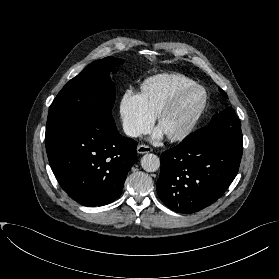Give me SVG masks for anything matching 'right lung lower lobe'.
<instances>
[{"label": "right lung lower lobe", "mask_w": 279, "mask_h": 279, "mask_svg": "<svg viewBox=\"0 0 279 279\" xmlns=\"http://www.w3.org/2000/svg\"><path fill=\"white\" fill-rule=\"evenodd\" d=\"M45 142L60 186L85 206L115 201L137 161V142L120 135L113 117L103 112L84 116L46 136Z\"/></svg>", "instance_id": "right-lung-lower-lobe-1"}]
</instances>
